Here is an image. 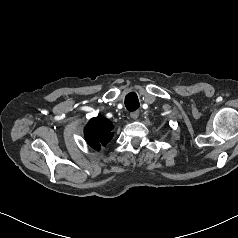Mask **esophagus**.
Listing matches in <instances>:
<instances>
[{"label": "esophagus", "mask_w": 238, "mask_h": 238, "mask_svg": "<svg viewBox=\"0 0 238 238\" xmlns=\"http://www.w3.org/2000/svg\"><path fill=\"white\" fill-rule=\"evenodd\" d=\"M130 117L133 119V120H137L138 117H139V111L136 110V111H133L130 113Z\"/></svg>", "instance_id": "obj_1"}]
</instances>
